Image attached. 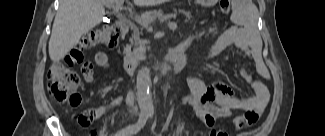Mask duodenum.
Here are the masks:
<instances>
[{
	"label": "duodenum",
	"mask_w": 325,
	"mask_h": 136,
	"mask_svg": "<svg viewBox=\"0 0 325 136\" xmlns=\"http://www.w3.org/2000/svg\"><path fill=\"white\" fill-rule=\"evenodd\" d=\"M128 26L129 25L126 20H119L115 23V27L122 35L127 33ZM189 44L190 41L172 49L169 53H167L161 69L167 73L182 70L187 62ZM123 66L129 73H134L142 68L143 63L136 60L131 53H128L124 58Z\"/></svg>",
	"instance_id": "obj_1"
}]
</instances>
